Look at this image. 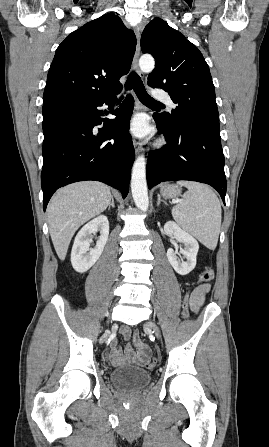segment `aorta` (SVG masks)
Wrapping results in <instances>:
<instances>
[{"mask_svg":"<svg viewBox=\"0 0 269 447\" xmlns=\"http://www.w3.org/2000/svg\"><path fill=\"white\" fill-rule=\"evenodd\" d=\"M139 68L141 72H152L155 68L154 58L150 54H144L139 60ZM145 164L144 156H138L133 164L131 178L133 200L143 212H147L149 206Z\"/></svg>","mask_w":269,"mask_h":447,"instance_id":"762f6f07","label":"aorta"}]
</instances>
